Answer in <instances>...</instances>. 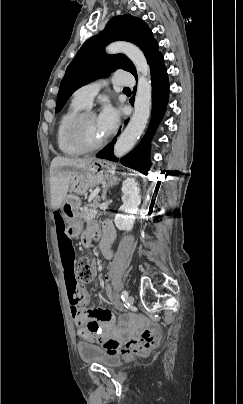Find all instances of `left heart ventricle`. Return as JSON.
I'll use <instances>...</instances> for the list:
<instances>
[{"instance_id": "b2bd125f", "label": "left heart ventricle", "mask_w": 243, "mask_h": 404, "mask_svg": "<svg viewBox=\"0 0 243 404\" xmlns=\"http://www.w3.org/2000/svg\"><path fill=\"white\" fill-rule=\"evenodd\" d=\"M78 133L88 144H96L104 139L100 134L96 116L85 118L78 128Z\"/></svg>"}]
</instances>
